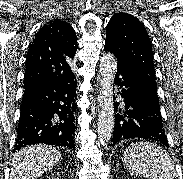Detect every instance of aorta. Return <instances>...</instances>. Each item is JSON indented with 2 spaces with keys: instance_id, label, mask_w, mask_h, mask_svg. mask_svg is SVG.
<instances>
[{
  "instance_id": "762f6f07",
  "label": "aorta",
  "mask_w": 183,
  "mask_h": 179,
  "mask_svg": "<svg viewBox=\"0 0 183 179\" xmlns=\"http://www.w3.org/2000/svg\"><path fill=\"white\" fill-rule=\"evenodd\" d=\"M117 70V60L111 53H105L100 59V91L98 110V138L106 145L114 128L113 82Z\"/></svg>"
}]
</instances>
